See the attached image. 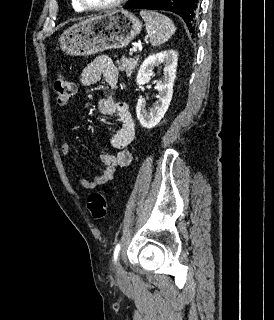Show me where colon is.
Masks as SVG:
<instances>
[{
  "mask_svg": "<svg viewBox=\"0 0 274 320\" xmlns=\"http://www.w3.org/2000/svg\"><path fill=\"white\" fill-rule=\"evenodd\" d=\"M53 88L57 103L65 105L73 95L74 84L68 77L58 74L54 79ZM86 207L94 219L101 220L106 215L108 201L99 191H95L87 198Z\"/></svg>",
  "mask_w": 274,
  "mask_h": 320,
  "instance_id": "1",
  "label": "colon"
}]
</instances>
